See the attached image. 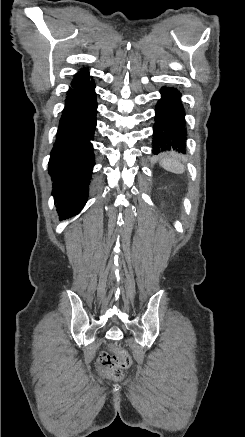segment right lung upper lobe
Wrapping results in <instances>:
<instances>
[{"label": "right lung upper lobe", "instance_id": "cb5924a9", "mask_svg": "<svg viewBox=\"0 0 245 437\" xmlns=\"http://www.w3.org/2000/svg\"><path fill=\"white\" fill-rule=\"evenodd\" d=\"M93 83V80L90 79L88 69L82 68L77 74H75L74 79L71 83L72 88L84 87Z\"/></svg>", "mask_w": 245, "mask_h": 437}]
</instances>
